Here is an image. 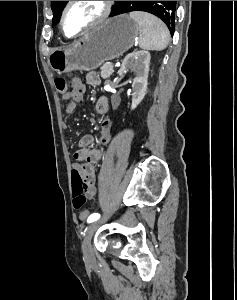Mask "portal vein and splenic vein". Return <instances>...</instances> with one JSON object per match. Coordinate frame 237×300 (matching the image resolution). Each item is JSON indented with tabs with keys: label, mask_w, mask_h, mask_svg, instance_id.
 Returning <instances> with one entry per match:
<instances>
[{
	"label": "portal vein and splenic vein",
	"mask_w": 237,
	"mask_h": 300,
	"mask_svg": "<svg viewBox=\"0 0 237 300\" xmlns=\"http://www.w3.org/2000/svg\"><path fill=\"white\" fill-rule=\"evenodd\" d=\"M109 64H110V65H109V68H113V65H111L112 63L110 62Z\"/></svg>",
	"instance_id": "portal-vein-and-splenic-vein-1"
}]
</instances>
